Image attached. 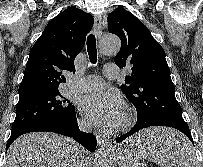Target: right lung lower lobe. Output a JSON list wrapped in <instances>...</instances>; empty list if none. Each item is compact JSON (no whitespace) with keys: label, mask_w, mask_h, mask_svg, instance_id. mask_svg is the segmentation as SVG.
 I'll use <instances>...</instances> for the list:
<instances>
[{"label":"right lung lower lobe","mask_w":203,"mask_h":167,"mask_svg":"<svg viewBox=\"0 0 203 167\" xmlns=\"http://www.w3.org/2000/svg\"><path fill=\"white\" fill-rule=\"evenodd\" d=\"M38 131L55 132L58 134L73 137L78 143L83 145L90 152H94L96 149V143H97L96 137L93 134H88L79 130L76 114L74 113L71 116L64 117L58 120H52L49 122L40 123L32 127H29L21 132L12 134L7 142L6 150L9 148L12 142L20 135L29 133V132H38Z\"/></svg>","instance_id":"1"}]
</instances>
